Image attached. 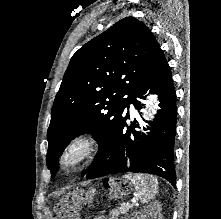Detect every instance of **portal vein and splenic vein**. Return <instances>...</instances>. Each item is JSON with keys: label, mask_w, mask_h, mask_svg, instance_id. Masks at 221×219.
Returning <instances> with one entry per match:
<instances>
[{"label": "portal vein and splenic vein", "mask_w": 221, "mask_h": 219, "mask_svg": "<svg viewBox=\"0 0 221 219\" xmlns=\"http://www.w3.org/2000/svg\"><path fill=\"white\" fill-rule=\"evenodd\" d=\"M135 203H136V200L133 199V200L131 201V204H135ZM124 205H125V204H122V206H124Z\"/></svg>", "instance_id": "18ae733b"}]
</instances>
